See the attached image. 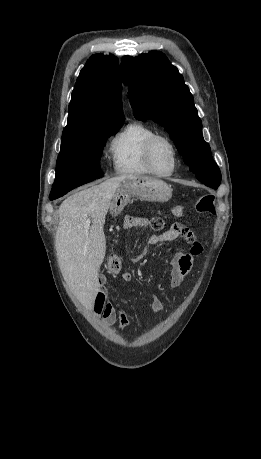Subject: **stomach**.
<instances>
[{
    "mask_svg": "<svg viewBox=\"0 0 261 459\" xmlns=\"http://www.w3.org/2000/svg\"><path fill=\"white\" fill-rule=\"evenodd\" d=\"M172 197V189L164 181L143 175L128 176L118 187L114 212L128 204L132 198L149 202H167Z\"/></svg>",
    "mask_w": 261,
    "mask_h": 459,
    "instance_id": "obj_1",
    "label": "stomach"
}]
</instances>
